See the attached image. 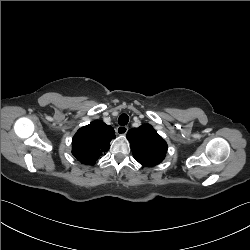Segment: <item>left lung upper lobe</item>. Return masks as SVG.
Masks as SVG:
<instances>
[{
	"mask_svg": "<svg viewBox=\"0 0 250 250\" xmlns=\"http://www.w3.org/2000/svg\"><path fill=\"white\" fill-rule=\"evenodd\" d=\"M127 139L134 158L143 166H155L164 159L167 144L151 125L130 129Z\"/></svg>",
	"mask_w": 250,
	"mask_h": 250,
	"instance_id": "1",
	"label": "left lung upper lobe"
}]
</instances>
